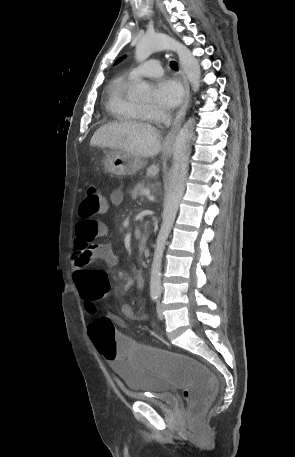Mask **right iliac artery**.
Returning a JSON list of instances; mask_svg holds the SVG:
<instances>
[{"mask_svg":"<svg viewBox=\"0 0 295 457\" xmlns=\"http://www.w3.org/2000/svg\"><path fill=\"white\" fill-rule=\"evenodd\" d=\"M151 298H152L153 301H156L157 298H158V295H157V294H152V295H151Z\"/></svg>","mask_w":295,"mask_h":457,"instance_id":"82829eb1","label":"right iliac artery"}]
</instances>
